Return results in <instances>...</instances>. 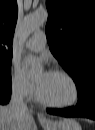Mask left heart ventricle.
I'll list each match as a JSON object with an SVG mask.
<instances>
[{"label":"left heart ventricle","instance_id":"1","mask_svg":"<svg viewBox=\"0 0 95 130\" xmlns=\"http://www.w3.org/2000/svg\"><path fill=\"white\" fill-rule=\"evenodd\" d=\"M42 95L55 103H69L74 99V88L70 81L60 74L48 72L37 78Z\"/></svg>","mask_w":95,"mask_h":130}]
</instances>
